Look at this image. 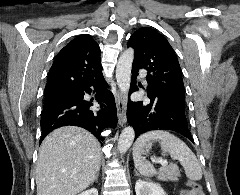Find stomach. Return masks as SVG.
Here are the masks:
<instances>
[{"label": "stomach", "instance_id": "stomach-1", "mask_svg": "<svg viewBox=\"0 0 240 195\" xmlns=\"http://www.w3.org/2000/svg\"><path fill=\"white\" fill-rule=\"evenodd\" d=\"M152 145H153V141H145L143 145H140L141 153H149Z\"/></svg>", "mask_w": 240, "mask_h": 195}]
</instances>
